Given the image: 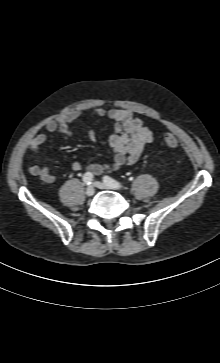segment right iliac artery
<instances>
[{
  "label": "right iliac artery",
  "instance_id": "right-iliac-artery-1",
  "mask_svg": "<svg viewBox=\"0 0 220 363\" xmlns=\"http://www.w3.org/2000/svg\"><path fill=\"white\" fill-rule=\"evenodd\" d=\"M92 180H93V174L90 173V172H86L83 176V182L86 184V185H90L92 183Z\"/></svg>",
  "mask_w": 220,
  "mask_h": 363
}]
</instances>
